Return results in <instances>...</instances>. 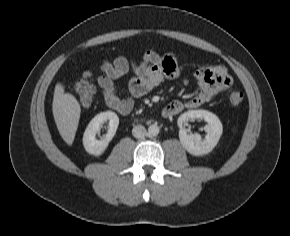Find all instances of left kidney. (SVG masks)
<instances>
[{
  "label": "left kidney",
  "instance_id": "1",
  "mask_svg": "<svg viewBox=\"0 0 290 236\" xmlns=\"http://www.w3.org/2000/svg\"><path fill=\"white\" fill-rule=\"evenodd\" d=\"M203 119L207 122L205 131L207 132L204 139L199 134H188L183 124L190 120ZM179 139L182 146L194 156H202L210 153L217 145L222 132L223 126L219 118L206 110H190L183 113L178 118Z\"/></svg>",
  "mask_w": 290,
  "mask_h": 236
}]
</instances>
